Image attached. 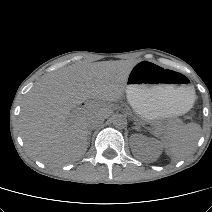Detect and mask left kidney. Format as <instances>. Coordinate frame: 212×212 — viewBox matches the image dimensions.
<instances>
[{"label": "left kidney", "instance_id": "1", "mask_svg": "<svg viewBox=\"0 0 212 212\" xmlns=\"http://www.w3.org/2000/svg\"><path fill=\"white\" fill-rule=\"evenodd\" d=\"M133 139L136 140V148L134 154L136 157L143 160H155L160 152L161 146L154 138H147L143 135H134Z\"/></svg>", "mask_w": 212, "mask_h": 212}]
</instances>
